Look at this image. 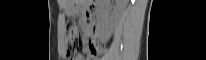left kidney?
Masks as SVG:
<instances>
[{"label": "left kidney", "instance_id": "5707ae66", "mask_svg": "<svg viewBox=\"0 0 206 60\" xmlns=\"http://www.w3.org/2000/svg\"><path fill=\"white\" fill-rule=\"evenodd\" d=\"M116 7L114 10L109 13L107 4L108 0H102L97 9V19H98V28L101 32V35L104 39L110 38L112 35L115 23L118 19L119 14L122 12L126 1L125 0H116Z\"/></svg>", "mask_w": 206, "mask_h": 60}]
</instances>
